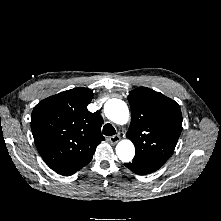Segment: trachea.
<instances>
[{
  "mask_svg": "<svg viewBox=\"0 0 221 221\" xmlns=\"http://www.w3.org/2000/svg\"><path fill=\"white\" fill-rule=\"evenodd\" d=\"M103 134L106 136H112L116 134V130L110 123H107L103 127Z\"/></svg>",
  "mask_w": 221,
  "mask_h": 221,
  "instance_id": "trachea-1",
  "label": "trachea"
}]
</instances>
